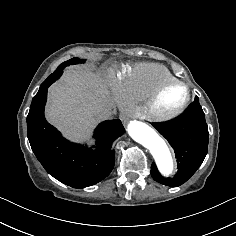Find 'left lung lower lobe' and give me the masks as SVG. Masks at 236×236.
Listing matches in <instances>:
<instances>
[{"label": "left lung lower lobe", "mask_w": 236, "mask_h": 236, "mask_svg": "<svg viewBox=\"0 0 236 236\" xmlns=\"http://www.w3.org/2000/svg\"><path fill=\"white\" fill-rule=\"evenodd\" d=\"M173 147L178 172L173 178H164L155 163L151 165L153 179L161 184L177 187L185 183L202 164L208 150L209 132L205 115L196 96L182 115L164 123H153Z\"/></svg>", "instance_id": "obj_1"}]
</instances>
